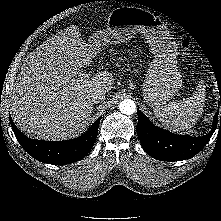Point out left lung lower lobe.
I'll list each match as a JSON object with an SVG mask.
<instances>
[{
	"mask_svg": "<svg viewBox=\"0 0 221 221\" xmlns=\"http://www.w3.org/2000/svg\"><path fill=\"white\" fill-rule=\"evenodd\" d=\"M137 112V134L142 147L149 156L161 161H181L192 158L207 144L219 123L218 110L214 116L211 131L202 137H191L163 130L153 125L140 110L137 109Z\"/></svg>",
	"mask_w": 221,
	"mask_h": 221,
	"instance_id": "left-lung-lower-lobe-1",
	"label": "left lung lower lobe"
}]
</instances>
